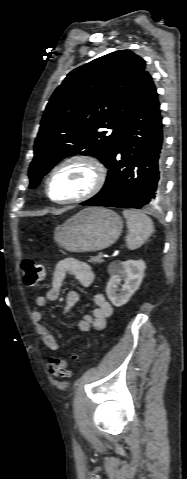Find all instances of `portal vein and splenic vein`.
Wrapping results in <instances>:
<instances>
[{"label":"portal vein and splenic vein","mask_w":187,"mask_h":479,"mask_svg":"<svg viewBox=\"0 0 187 479\" xmlns=\"http://www.w3.org/2000/svg\"><path fill=\"white\" fill-rule=\"evenodd\" d=\"M99 256L102 258V257H104L105 255H104L103 252H100V253H99Z\"/></svg>","instance_id":"18ae733b"}]
</instances>
